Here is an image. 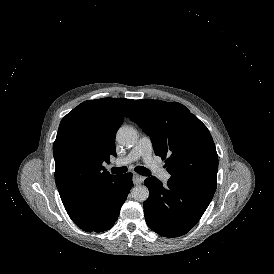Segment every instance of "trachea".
I'll use <instances>...</instances> for the list:
<instances>
[{
    "label": "trachea",
    "instance_id": "obj_1",
    "mask_svg": "<svg viewBox=\"0 0 274 274\" xmlns=\"http://www.w3.org/2000/svg\"><path fill=\"white\" fill-rule=\"evenodd\" d=\"M127 170H128L127 167H113L111 169V172L113 174H122V173L127 172ZM134 170H135V172H137V173H139L143 176H149L150 175L149 170L145 167H142V166H137V167H135Z\"/></svg>",
    "mask_w": 274,
    "mask_h": 274
}]
</instances>
